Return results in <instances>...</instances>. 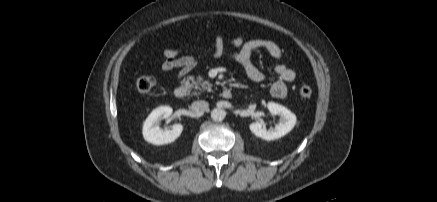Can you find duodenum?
Wrapping results in <instances>:
<instances>
[{"label": "duodenum", "instance_id": "410a0bca", "mask_svg": "<svg viewBox=\"0 0 437 202\" xmlns=\"http://www.w3.org/2000/svg\"><path fill=\"white\" fill-rule=\"evenodd\" d=\"M174 96L177 99H184L187 96V89L184 86H181V85L177 86L174 89ZM221 96L224 99H231L233 97V92H232L231 89L225 88V89L222 90Z\"/></svg>", "mask_w": 437, "mask_h": 202}]
</instances>
